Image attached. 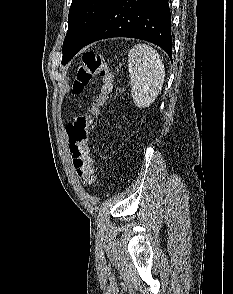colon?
<instances>
[{
    "mask_svg": "<svg viewBox=\"0 0 233 294\" xmlns=\"http://www.w3.org/2000/svg\"><path fill=\"white\" fill-rule=\"evenodd\" d=\"M93 78L101 79L99 92L91 99L86 111L76 114L67 126L73 166L81 182L88 187L95 183L94 165L89 147V131L94 118L114 91L115 79L104 57L94 51H87L82 55L78 66L73 91L76 94L81 93Z\"/></svg>",
    "mask_w": 233,
    "mask_h": 294,
    "instance_id": "obj_1",
    "label": "colon"
}]
</instances>
